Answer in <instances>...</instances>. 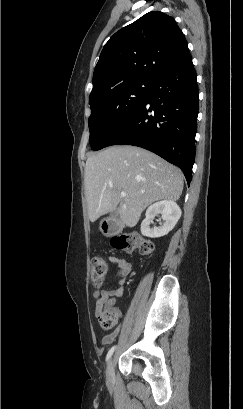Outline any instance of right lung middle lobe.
I'll return each mask as SVG.
<instances>
[{
    "label": "right lung middle lobe",
    "mask_w": 243,
    "mask_h": 409,
    "mask_svg": "<svg viewBox=\"0 0 243 409\" xmlns=\"http://www.w3.org/2000/svg\"><path fill=\"white\" fill-rule=\"evenodd\" d=\"M152 83L132 82L118 87L90 104V145L100 150L144 102Z\"/></svg>",
    "instance_id": "dd1d6c3e"
}]
</instances>
